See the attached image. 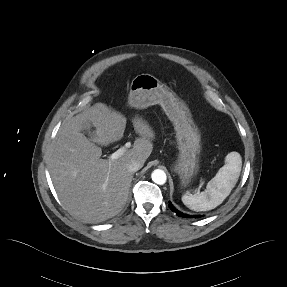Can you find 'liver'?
I'll return each mask as SVG.
<instances>
[{
    "label": "liver",
    "instance_id": "liver-1",
    "mask_svg": "<svg viewBox=\"0 0 287 287\" xmlns=\"http://www.w3.org/2000/svg\"><path fill=\"white\" fill-rule=\"evenodd\" d=\"M86 121L96 128L92 142L81 133ZM132 123L139 138L113 161L101 159L98 145L123 137L126 118L120 112L97 103L66 119L58 131L48 162L51 179L65 208L85 223L103 222L123 209L133 178L127 164L143 165L152 152V128L141 117H134Z\"/></svg>",
    "mask_w": 287,
    "mask_h": 287
}]
</instances>
